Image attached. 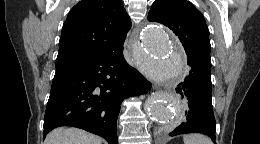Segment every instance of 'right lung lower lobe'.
<instances>
[{
	"label": "right lung lower lobe",
	"mask_w": 260,
	"mask_h": 144,
	"mask_svg": "<svg viewBox=\"0 0 260 144\" xmlns=\"http://www.w3.org/2000/svg\"><path fill=\"white\" fill-rule=\"evenodd\" d=\"M150 89L151 83L127 63L123 49L56 67L44 134L59 126H73L117 144L121 102Z\"/></svg>",
	"instance_id": "98d812e1"
}]
</instances>
